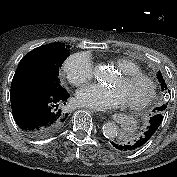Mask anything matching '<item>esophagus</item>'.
Returning <instances> with one entry per match:
<instances>
[{"label":"esophagus","instance_id":"1","mask_svg":"<svg viewBox=\"0 0 177 177\" xmlns=\"http://www.w3.org/2000/svg\"><path fill=\"white\" fill-rule=\"evenodd\" d=\"M103 116H104L105 118H109V117L111 116V113H110L109 111H105V112L103 113Z\"/></svg>","mask_w":177,"mask_h":177}]
</instances>
